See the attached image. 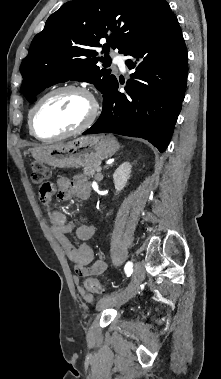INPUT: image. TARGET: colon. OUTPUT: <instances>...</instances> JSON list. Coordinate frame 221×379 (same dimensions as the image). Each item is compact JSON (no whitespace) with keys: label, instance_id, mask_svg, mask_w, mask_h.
<instances>
[{"label":"colon","instance_id":"obj_1","mask_svg":"<svg viewBox=\"0 0 221 379\" xmlns=\"http://www.w3.org/2000/svg\"><path fill=\"white\" fill-rule=\"evenodd\" d=\"M31 178L33 183L39 186L41 196L46 195L51 190V171L46 165L39 162L33 163ZM84 286L87 291L92 293H102L104 291L100 281L93 277L85 278Z\"/></svg>","mask_w":221,"mask_h":379}]
</instances>
